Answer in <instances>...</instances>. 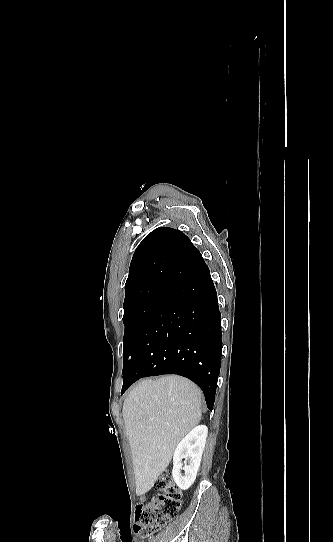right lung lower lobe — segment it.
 <instances>
[{
    "label": "right lung lower lobe",
    "instance_id": "obj_1",
    "mask_svg": "<svg viewBox=\"0 0 333 542\" xmlns=\"http://www.w3.org/2000/svg\"><path fill=\"white\" fill-rule=\"evenodd\" d=\"M164 262L186 273L152 311L123 370V394L142 377L177 374L203 391L209 410L221 366V313L209 268L200 253L178 248Z\"/></svg>",
    "mask_w": 333,
    "mask_h": 542
}]
</instances>
